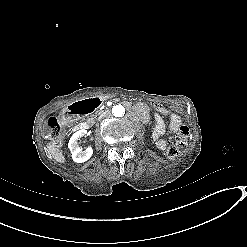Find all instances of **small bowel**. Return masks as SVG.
<instances>
[{
	"label": "small bowel",
	"mask_w": 247,
	"mask_h": 247,
	"mask_svg": "<svg viewBox=\"0 0 247 247\" xmlns=\"http://www.w3.org/2000/svg\"><path fill=\"white\" fill-rule=\"evenodd\" d=\"M170 118H171L170 126H169L170 132L176 133L179 131L180 127L182 126L181 119L177 114H171ZM154 138L156 141L157 148L160 150H165L167 143L166 140L162 137V134L157 133Z\"/></svg>",
	"instance_id": "c3829d8e"
}]
</instances>
